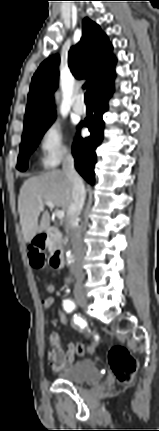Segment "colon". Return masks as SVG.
<instances>
[{
  "label": "colon",
  "instance_id": "1",
  "mask_svg": "<svg viewBox=\"0 0 159 431\" xmlns=\"http://www.w3.org/2000/svg\"><path fill=\"white\" fill-rule=\"evenodd\" d=\"M43 248L44 246L41 241H37L30 247L29 258L34 268H42L44 266L45 256ZM46 305L49 308L54 307L55 301L49 300ZM58 324L64 330L70 327L71 320L69 319L68 313H59ZM100 341V338L95 336L90 338V343L81 342L79 339L76 340L75 344L77 345L78 359H85L86 352L89 355L95 352L96 344L100 343ZM108 362L113 375L119 382L130 384L133 381L138 363L126 347L121 345L113 346L108 352Z\"/></svg>",
  "mask_w": 159,
  "mask_h": 431
}]
</instances>
